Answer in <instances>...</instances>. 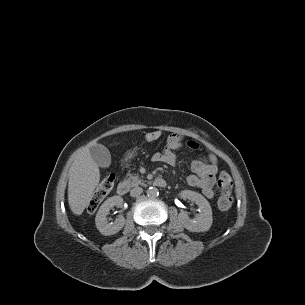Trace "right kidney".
Instances as JSON below:
<instances>
[{"mask_svg": "<svg viewBox=\"0 0 305 305\" xmlns=\"http://www.w3.org/2000/svg\"><path fill=\"white\" fill-rule=\"evenodd\" d=\"M123 198L120 196H113L108 198L99 208L95 223L97 229L101 234L105 236L114 235L118 233L125 225V218L123 216H119L115 219L114 222H108L107 215L110 209L114 206H122Z\"/></svg>", "mask_w": 305, "mask_h": 305, "instance_id": "1", "label": "right kidney"}]
</instances>
